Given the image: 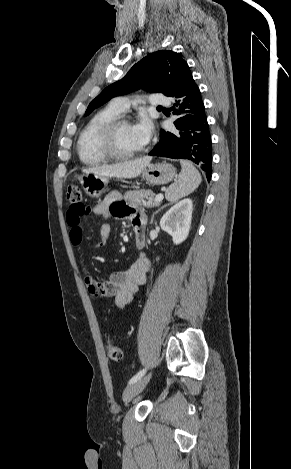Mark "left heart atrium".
I'll use <instances>...</instances> for the list:
<instances>
[{"instance_id":"left-heart-atrium-1","label":"left heart atrium","mask_w":291,"mask_h":469,"mask_svg":"<svg viewBox=\"0 0 291 469\" xmlns=\"http://www.w3.org/2000/svg\"><path fill=\"white\" fill-rule=\"evenodd\" d=\"M133 131L139 141L143 144L146 145L148 141L151 138L153 127L151 121L143 117L141 120H139L135 125H133Z\"/></svg>"}]
</instances>
